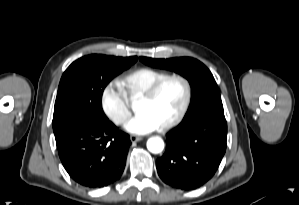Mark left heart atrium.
<instances>
[{
  "label": "left heart atrium",
  "mask_w": 299,
  "mask_h": 205,
  "mask_svg": "<svg viewBox=\"0 0 299 205\" xmlns=\"http://www.w3.org/2000/svg\"><path fill=\"white\" fill-rule=\"evenodd\" d=\"M130 133L144 135L160 128V124L148 113H138L125 126Z\"/></svg>",
  "instance_id": "39dd6f15"
}]
</instances>
